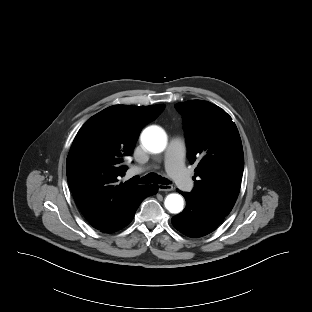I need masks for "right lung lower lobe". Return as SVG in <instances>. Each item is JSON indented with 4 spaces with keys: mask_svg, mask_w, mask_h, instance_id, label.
<instances>
[{
    "mask_svg": "<svg viewBox=\"0 0 312 312\" xmlns=\"http://www.w3.org/2000/svg\"><path fill=\"white\" fill-rule=\"evenodd\" d=\"M158 191V186L156 184L153 185H144L140 192L138 193L135 200L130 204L127 211L124 213V215L120 218L119 221H117L115 224L110 226L107 229H104L102 231L106 233H112L115 231L120 230L121 228L128 225L131 220L133 219L136 210L138 209L140 203L148 196L156 194Z\"/></svg>",
    "mask_w": 312,
    "mask_h": 312,
    "instance_id": "98d812e1",
    "label": "right lung lower lobe"
}]
</instances>
